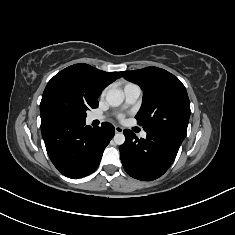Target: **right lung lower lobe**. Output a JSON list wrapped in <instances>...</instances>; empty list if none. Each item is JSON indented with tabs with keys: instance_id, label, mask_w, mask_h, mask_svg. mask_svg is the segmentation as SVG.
Returning a JSON list of instances; mask_svg holds the SVG:
<instances>
[{
	"instance_id": "obj_1",
	"label": "right lung lower lobe",
	"mask_w": 235,
	"mask_h": 235,
	"mask_svg": "<svg viewBox=\"0 0 235 235\" xmlns=\"http://www.w3.org/2000/svg\"><path fill=\"white\" fill-rule=\"evenodd\" d=\"M47 153L54 166L69 178H81L93 173L105 147L115 134L108 122L91 128L84 122L41 128Z\"/></svg>"
}]
</instances>
